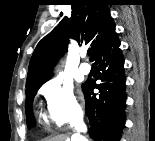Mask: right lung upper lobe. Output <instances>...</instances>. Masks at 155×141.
Wrapping results in <instances>:
<instances>
[{
    "label": "right lung upper lobe",
    "instance_id": "1",
    "mask_svg": "<svg viewBox=\"0 0 155 141\" xmlns=\"http://www.w3.org/2000/svg\"><path fill=\"white\" fill-rule=\"evenodd\" d=\"M115 32L105 0H75L72 16L65 17L36 46L29 64L26 88L49 79L56 60L67 50L69 38L90 44L93 57L101 44Z\"/></svg>",
    "mask_w": 155,
    "mask_h": 141
}]
</instances>
